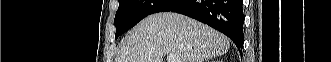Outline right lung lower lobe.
Here are the masks:
<instances>
[{"label":"right lung lower lobe","instance_id":"1","mask_svg":"<svg viewBox=\"0 0 331 62\" xmlns=\"http://www.w3.org/2000/svg\"><path fill=\"white\" fill-rule=\"evenodd\" d=\"M242 4L243 0H177L162 11L184 14L213 27L228 36L241 53L244 44Z\"/></svg>","mask_w":331,"mask_h":62}]
</instances>
